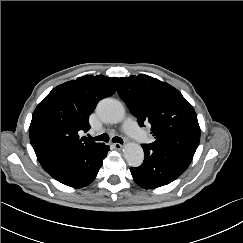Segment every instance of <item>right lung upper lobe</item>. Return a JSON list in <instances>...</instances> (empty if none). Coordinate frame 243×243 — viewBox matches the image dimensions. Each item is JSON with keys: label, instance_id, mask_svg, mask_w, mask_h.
Instances as JSON below:
<instances>
[{"label": "right lung upper lobe", "instance_id": "cb5924a9", "mask_svg": "<svg viewBox=\"0 0 243 243\" xmlns=\"http://www.w3.org/2000/svg\"><path fill=\"white\" fill-rule=\"evenodd\" d=\"M118 78L86 75L55 87L35 109L30 142L41 163L67 152L88 151L102 143L83 136L97 103L115 93Z\"/></svg>", "mask_w": 243, "mask_h": 243}]
</instances>
